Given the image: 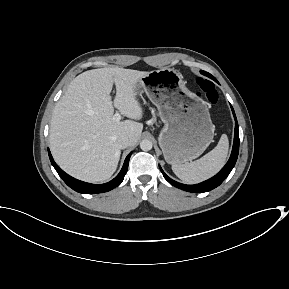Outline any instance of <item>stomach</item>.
<instances>
[{"instance_id":"1","label":"stomach","mask_w":289,"mask_h":289,"mask_svg":"<svg viewBox=\"0 0 289 289\" xmlns=\"http://www.w3.org/2000/svg\"><path fill=\"white\" fill-rule=\"evenodd\" d=\"M141 90L164 123L159 144L166 162L181 165L199 157L214 136L206 102L188 90L182 75L173 68L154 70L140 78L136 94Z\"/></svg>"}]
</instances>
